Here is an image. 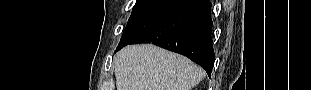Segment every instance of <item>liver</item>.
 Segmentation results:
<instances>
[{
	"instance_id": "1",
	"label": "liver",
	"mask_w": 311,
	"mask_h": 90,
	"mask_svg": "<svg viewBox=\"0 0 311 90\" xmlns=\"http://www.w3.org/2000/svg\"><path fill=\"white\" fill-rule=\"evenodd\" d=\"M114 66L117 90H190L204 76L188 58L150 44L126 46Z\"/></svg>"
}]
</instances>
